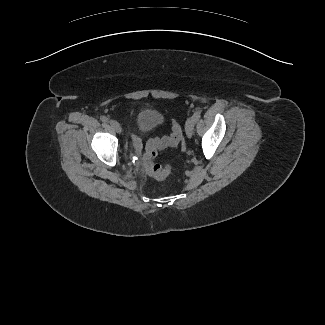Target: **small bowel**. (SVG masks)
<instances>
[{
  "mask_svg": "<svg viewBox=\"0 0 325 325\" xmlns=\"http://www.w3.org/2000/svg\"><path fill=\"white\" fill-rule=\"evenodd\" d=\"M133 145L136 151H140L142 149V142L138 137H133Z\"/></svg>",
  "mask_w": 325,
  "mask_h": 325,
  "instance_id": "small-bowel-1",
  "label": "small bowel"
}]
</instances>
